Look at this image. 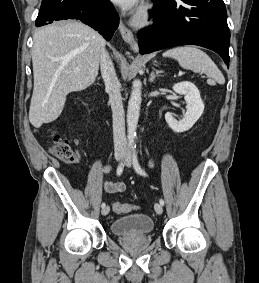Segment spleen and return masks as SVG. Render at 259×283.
Wrapping results in <instances>:
<instances>
[{
    "mask_svg": "<svg viewBox=\"0 0 259 283\" xmlns=\"http://www.w3.org/2000/svg\"><path fill=\"white\" fill-rule=\"evenodd\" d=\"M163 57L176 59L184 69H190L196 73H205L211 83L223 85L225 78L211 58L194 46H184L169 49L163 53Z\"/></svg>",
    "mask_w": 259,
    "mask_h": 283,
    "instance_id": "spleen-1",
    "label": "spleen"
}]
</instances>
